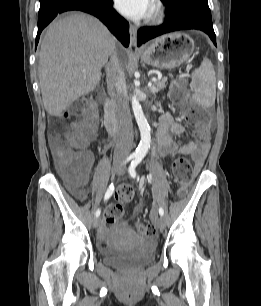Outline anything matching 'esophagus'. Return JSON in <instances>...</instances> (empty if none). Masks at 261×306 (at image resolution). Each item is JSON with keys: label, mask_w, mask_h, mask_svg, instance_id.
Wrapping results in <instances>:
<instances>
[{"label": "esophagus", "mask_w": 261, "mask_h": 306, "mask_svg": "<svg viewBox=\"0 0 261 306\" xmlns=\"http://www.w3.org/2000/svg\"><path fill=\"white\" fill-rule=\"evenodd\" d=\"M129 32H130V47L135 48L136 47L137 28L132 23H130V25H129Z\"/></svg>", "instance_id": "esophagus-1"}]
</instances>
